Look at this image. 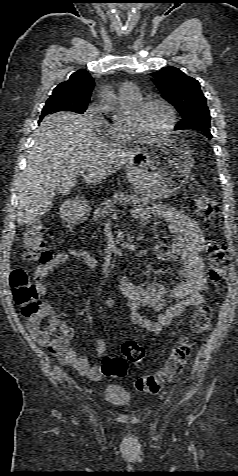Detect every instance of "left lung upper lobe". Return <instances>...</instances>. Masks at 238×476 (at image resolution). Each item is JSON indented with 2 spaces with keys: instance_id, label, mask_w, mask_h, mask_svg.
Listing matches in <instances>:
<instances>
[{
  "instance_id": "obj_1",
  "label": "left lung upper lobe",
  "mask_w": 238,
  "mask_h": 476,
  "mask_svg": "<svg viewBox=\"0 0 238 476\" xmlns=\"http://www.w3.org/2000/svg\"><path fill=\"white\" fill-rule=\"evenodd\" d=\"M162 97L171 103L182 119L175 130H210V114L199 82L180 69L165 67L150 74Z\"/></svg>"
}]
</instances>
